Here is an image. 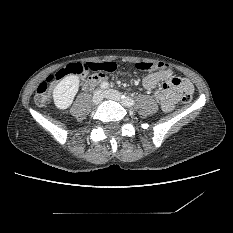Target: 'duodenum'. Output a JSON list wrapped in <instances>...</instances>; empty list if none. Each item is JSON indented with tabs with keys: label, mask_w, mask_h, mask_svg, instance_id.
Returning a JSON list of instances; mask_svg holds the SVG:
<instances>
[{
	"label": "duodenum",
	"mask_w": 233,
	"mask_h": 233,
	"mask_svg": "<svg viewBox=\"0 0 233 233\" xmlns=\"http://www.w3.org/2000/svg\"><path fill=\"white\" fill-rule=\"evenodd\" d=\"M105 80H106V77L104 75H101V74L92 75L84 81V88L86 89L91 88L93 86H96L102 83Z\"/></svg>",
	"instance_id": "1"
}]
</instances>
